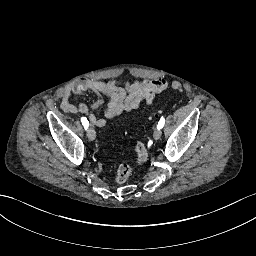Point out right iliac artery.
<instances>
[{
	"label": "right iliac artery",
	"instance_id": "1",
	"mask_svg": "<svg viewBox=\"0 0 256 256\" xmlns=\"http://www.w3.org/2000/svg\"><path fill=\"white\" fill-rule=\"evenodd\" d=\"M81 122H82V125L84 126L85 130H87L88 126H89V122L87 120L86 117H82L81 118Z\"/></svg>",
	"mask_w": 256,
	"mask_h": 256
}]
</instances>
